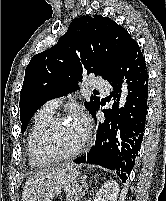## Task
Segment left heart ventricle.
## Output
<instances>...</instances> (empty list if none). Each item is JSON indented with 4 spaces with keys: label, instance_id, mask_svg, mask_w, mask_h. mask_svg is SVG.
<instances>
[{
    "label": "left heart ventricle",
    "instance_id": "left-heart-ventricle-1",
    "mask_svg": "<svg viewBox=\"0 0 166 201\" xmlns=\"http://www.w3.org/2000/svg\"><path fill=\"white\" fill-rule=\"evenodd\" d=\"M81 143V136L70 121H62L55 125L44 140L46 148L60 154L74 151Z\"/></svg>",
    "mask_w": 166,
    "mask_h": 201
}]
</instances>
